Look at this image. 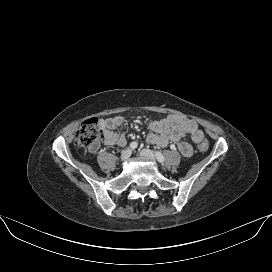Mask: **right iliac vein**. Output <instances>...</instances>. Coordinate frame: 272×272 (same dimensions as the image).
<instances>
[{
    "mask_svg": "<svg viewBox=\"0 0 272 272\" xmlns=\"http://www.w3.org/2000/svg\"><path fill=\"white\" fill-rule=\"evenodd\" d=\"M132 151L130 149L123 150L121 153V160L126 161L131 156Z\"/></svg>",
    "mask_w": 272,
    "mask_h": 272,
    "instance_id": "63e3f726",
    "label": "right iliac vein"
}]
</instances>
